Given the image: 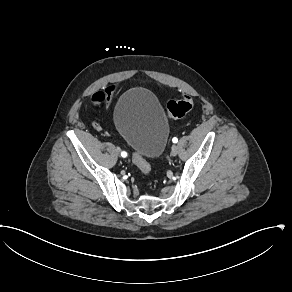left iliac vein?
Segmentation results:
<instances>
[{
	"label": "left iliac vein",
	"mask_w": 292,
	"mask_h": 292,
	"mask_svg": "<svg viewBox=\"0 0 292 292\" xmlns=\"http://www.w3.org/2000/svg\"><path fill=\"white\" fill-rule=\"evenodd\" d=\"M178 154V147L176 145H173L171 148V155L176 156Z\"/></svg>",
	"instance_id": "obj_1"
}]
</instances>
